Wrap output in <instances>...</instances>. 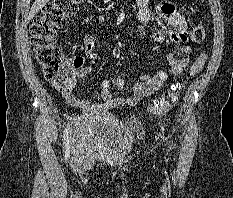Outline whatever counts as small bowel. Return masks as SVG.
<instances>
[{"label": "small bowel", "instance_id": "obj_1", "mask_svg": "<svg viewBox=\"0 0 233 198\" xmlns=\"http://www.w3.org/2000/svg\"><path fill=\"white\" fill-rule=\"evenodd\" d=\"M148 4L149 0H137L138 19L141 22L142 27L137 30L130 29V34L132 36L142 35L148 27L152 18ZM157 13L171 28L167 31L154 33L152 38L155 41H163L166 38H169L174 43L181 45L179 49L166 53L169 71H159L155 75L141 72L139 75V82L133 86L132 94L128 97H119L113 90V88L120 91L125 90V82L121 77L105 79L101 82V96L104 99L103 102H92L70 93L64 94V98L68 104L84 111L97 110L99 112H106L112 108L123 105L135 106L145 98L159 91L165 85L169 73L178 75L182 72L188 65V55L190 54V48L186 45L190 37L187 22L184 16L170 3L160 4L157 8ZM84 47L89 59L97 58L95 52V37L93 35H87L85 37ZM178 54L183 56L178 58ZM72 63L78 68V75L81 78L86 77L92 70L91 67L84 66V59L82 57L75 58Z\"/></svg>", "mask_w": 233, "mask_h": 198}]
</instances>
